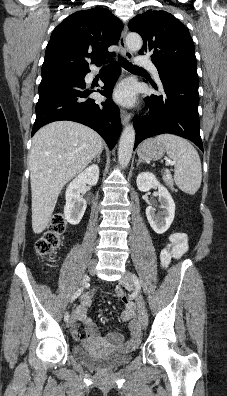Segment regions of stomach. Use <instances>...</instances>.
Wrapping results in <instances>:
<instances>
[{"instance_id": "1", "label": "stomach", "mask_w": 227, "mask_h": 396, "mask_svg": "<svg viewBox=\"0 0 227 396\" xmlns=\"http://www.w3.org/2000/svg\"><path fill=\"white\" fill-rule=\"evenodd\" d=\"M165 147L154 139L144 141L138 148L137 154L144 161H155L164 155Z\"/></svg>"}]
</instances>
